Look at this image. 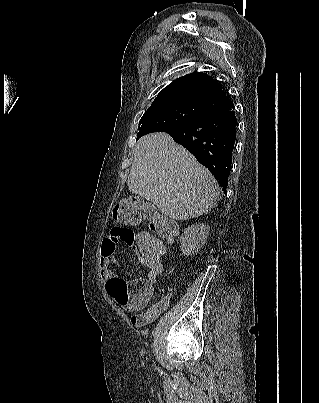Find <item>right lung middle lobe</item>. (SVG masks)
<instances>
[{"mask_svg":"<svg viewBox=\"0 0 319 403\" xmlns=\"http://www.w3.org/2000/svg\"><path fill=\"white\" fill-rule=\"evenodd\" d=\"M210 113L208 108L189 102L151 105L140 119L137 139L166 127L188 124Z\"/></svg>","mask_w":319,"mask_h":403,"instance_id":"obj_1","label":"right lung middle lobe"}]
</instances>
